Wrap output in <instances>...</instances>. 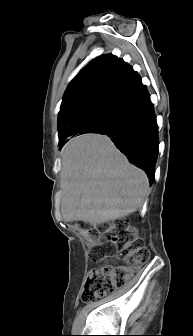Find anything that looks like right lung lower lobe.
Listing matches in <instances>:
<instances>
[{
  "label": "right lung lower lobe",
  "instance_id": "1",
  "mask_svg": "<svg viewBox=\"0 0 193 336\" xmlns=\"http://www.w3.org/2000/svg\"><path fill=\"white\" fill-rule=\"evenodd\" d=\"M130 162L154 181L158 156V126L148 91L137 75L114 103L103 128Z\"/></svg>",
  "mask_w": 193,
  "mask_h": 336
}]
</instances>
